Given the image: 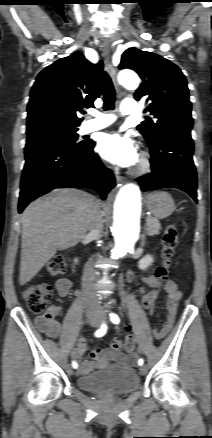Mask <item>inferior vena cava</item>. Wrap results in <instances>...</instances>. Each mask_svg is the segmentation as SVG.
Here are the masks:
<instances>
[{
    "label": "inferior vena cava",
    "mask_w": 212,
    "mask_h": 438,
    "mask_svg": "<svg viewBox=\"0 0 212 438\" xmlns=\"http://www.w3.org/2000/svg\"><path fill=\"white\" fill-rule=\"evenodd\" d=\"M102 229H103L102 214L100 211V207L98 206L93 211L88 236L93 240H98L102 237ZM94 279H95L94 269L92 265L88 263L84 271V286L87 289L86 304L88 308L91 309H97L100 307L99 299L91 288Z\"/></svg>",
    "instance_id": "1"
}]
</instances>
